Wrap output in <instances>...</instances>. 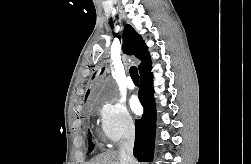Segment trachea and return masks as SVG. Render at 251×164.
<instances>
[{
	"mask_svg": "<svg viewBox=\"0 0 251 164\" xmlns=\"http://www.w3.org/2000/svg\"><path fill=\"white\" fill-rule=\"evenodd\" d=\"M130 76L134 82H139L138 69L135 66L130 68Z\"/></svg>",
	"mask_w": 251,
	"mask_h": 164,
	"instance_id": "3493384b",
	"label": "trachea"
}]
</instances>
